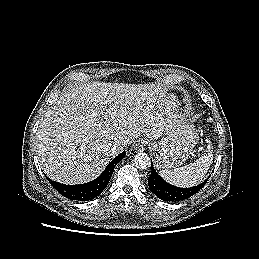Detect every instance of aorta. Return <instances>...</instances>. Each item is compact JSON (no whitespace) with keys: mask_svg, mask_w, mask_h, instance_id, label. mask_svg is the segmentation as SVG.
<instances>
[{"mask_svg":"<svg viewBox=\"0 0 259 259\" xmlns=\"http://www.w3.org/2000/svg\"><path fill=\"white\" fill-rule=\"evenodd\" d=\"M134 162L137 168L146 170L150 167V158L145 153H137L134 157Z\"/></svg>","mask_w":259,"mask_h":259,"instance_id":"762f6f07","label":"aorta"}]
</instances>
